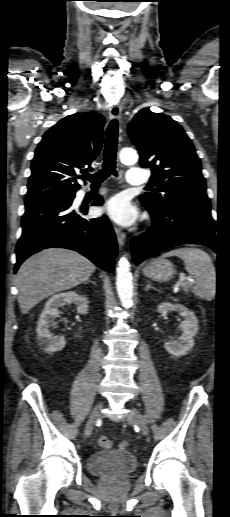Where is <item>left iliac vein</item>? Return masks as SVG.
<instances>
[{"label": "left iliac vein", "instance_id": "4c4485c4", "mask_svg": "<svg viewBox=\"0 0 230 517\" xmlns=\"http://www.w3.org/2000/svg\"><path fill=\"white\" fill-rule=\"evenodd\" d=\"M128 419L130 422L135 423L140 428L141 433L143 435L148 434L149 428H148L146 419L144 418V416L141 414V412L137 408H135V407L131 408V411L128 415Z\"/></svg>", "mask_w": 230, "mask_h": 517}]
</instances>
